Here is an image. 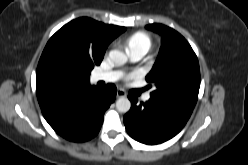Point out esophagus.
Instances as JSON below:
<instances>
[{"mask_svg":"<svg viewBox=\"0 0 248 165\" xmlns=\"http://www.w3.org/2000/svg\"><path fill=\"white\" fill-rule=\"evenodd\" d=\"M126 96V93L122 89L117 90V98Z\"/></svg>","mask_w":248,"mask_h":165,"instance_id":"34e87169","label":"esophagus"}]
</instances>
